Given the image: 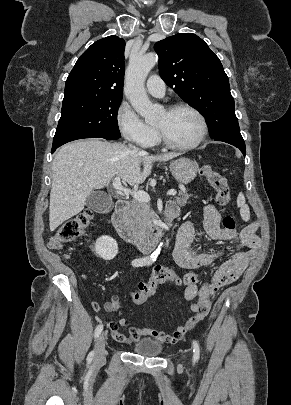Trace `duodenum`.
<instances>
[{
    "label": "duodenum",
    "instance_id": "410a0bca",
    "mask_svg": "<svg viewBox=\"0 0 291 405\" xmlns=\"http://www.w3.org/2000/svg\"><path fill=\"white\" fill-rule=\"evenodd\" d=\"M131 211V203L126 199H120L116 203L113 214V225L125 242L135 246L140 251H150L157 243L162 227L157 226L144 234H137L131 227L129 222V214ZM178 214L177 208L168 206L165 213V221L174 219Z\"/></svg>",
    "mask_w": 291,
    "mask_h": 405
}]
</instances>
